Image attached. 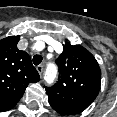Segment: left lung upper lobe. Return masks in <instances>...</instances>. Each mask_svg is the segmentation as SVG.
Segmentation results:
<instances>
[{
	"label": "left lung upper lobe",
	"mask_w": 117,
	"mask_h": 117,
	"mask_svg": "<svg viewBox=\"0 0 117 117\" xmlns=\"http://www.w3.org/2000/svg\"><path fill=\"white\" fill-rule=\"evenodd\" d=\"M55 62L59 68L58 81L52 87H45L49 103L65 105L81 113L99 93L101 70L98 62L87 49L70 43Z\"/></svg>",
	"instance_id": "obj_1"
}]
</instances>
